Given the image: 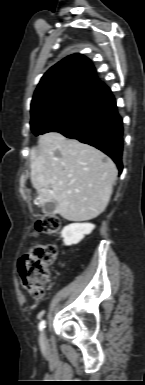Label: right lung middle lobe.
<instances>
[{"label":"right lung middle lobe","mask_w":145,"mask_h":385,"mask_svg":"<svg viewBox=\"0 0 145 385\" xmlns=\"http://www.w3.org/2000/svg\"><path fill=\"white\" fill-rule=\"evenodd\" d=\"M100 93L72 90L59 94L31 110V130L35 135L56 132L88 108Z\"/></svg>","instance_id":"1"}]
</instances>
